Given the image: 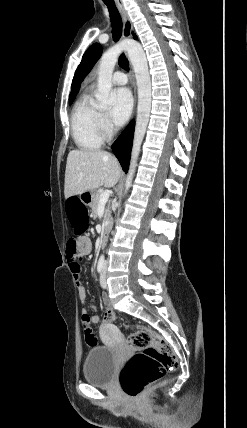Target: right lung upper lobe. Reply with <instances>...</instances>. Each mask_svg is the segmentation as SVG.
Returning <instances> with one entry per match:
<instances>
[{
    "label": "right lung upper lobe",
    "instance_id": "cb5924a9",
    "mask_svg": "<svg viewBox=\"0 0 247 428\" xmlns=\"http://www.w3.org/2000/svg\"><path fill=\"white\" fill-rule=\"evenodd\" d=\"M134 38L136 39L135 35H134ZM78 90H79V86H75V87L72 88V93H71L70 98H69L70 103H72L73 100L75 99L76 94L78 93Z\"/></svg>",
    "mask_w": 247,
    "mask_h": 428
}]
</instances>
